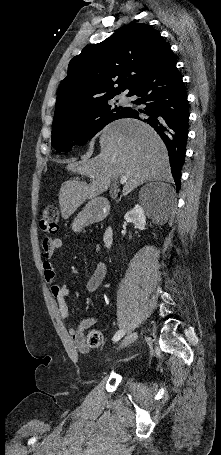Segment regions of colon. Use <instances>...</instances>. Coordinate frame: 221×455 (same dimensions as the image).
<instances>
[{
  "instance_id": "colon-1",
  "label": "colon",
  "mask_w": 221,
  "mask_h": 455,
  "mask_svg": "<svg viewBox=\"0 0 221 455\" xmlns=\"http://www.w3.org/2000/svg\"><path fill=\"white\" fill-rule=\"evenodd\" d=\"M59 227V207L57 204L47 205L42 213L40 228L43 232L54 234ZM88 344L92 347H100L103 344V336L97 331L88 335Z\"/></svg>"
}]
</instances>
